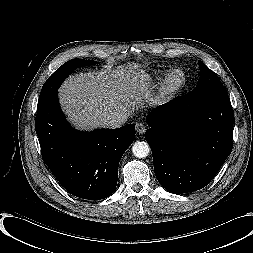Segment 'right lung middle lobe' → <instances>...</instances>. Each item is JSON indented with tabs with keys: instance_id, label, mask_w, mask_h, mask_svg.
Returning a JSON list of instances; mask_svg holds the SVG:
<instances>
[{
	"instance_id": "right-lung-middle-lobe-1",
	"label": "right lung middle lobe",
	"mask_w": 253,
	"mask_h": 253,
	"mask_svg": "<svg viewBox=\"0 0 253 253\" xmlns=\"http://www.w3.org/2000/svg\"><path fill=\"white\" fill-rule=\"evenodd\" d=\"M93 60L72 59L59 67L45 82L40 93L38 106L45 103L58 90L64 79L77 68L96 64Z\"/></svg>"
}]
</instances>
